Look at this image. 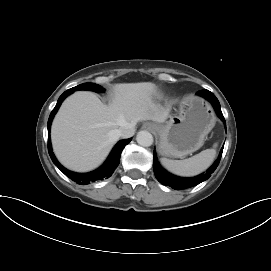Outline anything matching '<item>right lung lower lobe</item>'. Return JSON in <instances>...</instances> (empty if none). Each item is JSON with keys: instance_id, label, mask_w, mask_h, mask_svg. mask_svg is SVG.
I'll return each instance as SVG.
<instances>
[{"instance_id": "right-lung-lower-lobe-1", "label": "right lung lower lobe", "mask_w": 271, "mask_h": 271, "mask_svg": "<svg viewBox=\"0 0 271 271\" xmlns=\"http://www.w3.org/2000/svg\"><path fill=\"white\" fill-rule=\"evenodd\" d=\"M74 91H72L71 89L65 91L58 99L57 104L55 106V108L52 110L50 116H49V120H48V152L49 155L53 161V163L66 175L68 176L70 179H72L73 181H75L77 184H81V185H86L89 184L90 182H94L96 180L102 179V178H109L111 176V174L113 173V171L115 170V168L118 166L119 162H120V156H121V152L124 149V147L131 141V139H124V140H120L119 142H117V144L115 145V147L113 148L111 154L109 155L108 159L106 160V162L97 170L90 172V173H85V174H80V173H74L71 172L69 170H67L66 168H64L55 158L53 152H52V147H51V141H50V126H51V122L53 120L54 115L56 114L57 110L59 109L61 103L63 102V100L71 93H73Z\"/></svg>"}]
</instances>
